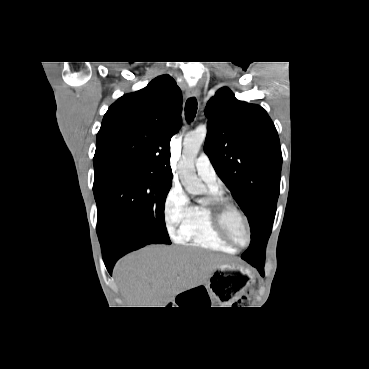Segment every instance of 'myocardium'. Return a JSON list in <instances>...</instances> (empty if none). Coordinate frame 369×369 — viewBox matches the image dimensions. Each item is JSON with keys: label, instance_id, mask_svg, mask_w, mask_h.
I'll use <instances>...</instances> for the list:
<instances>
[{"label": "myocardium", "instance_id": "f54148a6", "mask_svg": "<svg viewBox=\"0 0 369 369\" xmlns=\"http://www.w3.org/2000/svg\"><path fill=\"white\" fill-rule=\"evenodd\" d=\"M208 210L211 213L213 226L220 237L235 249L247 248L252 240V232L249 221L244 212L233 202L223 197H210L205 202ZM230 212H235L242 220L247 232V242L244 245L238 244L231 236L226 219Z\"/></svg>", "mask_w": 369, "mask_h": 369}]
</instances>
